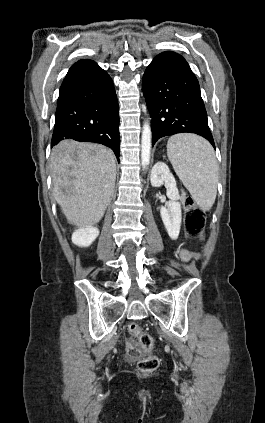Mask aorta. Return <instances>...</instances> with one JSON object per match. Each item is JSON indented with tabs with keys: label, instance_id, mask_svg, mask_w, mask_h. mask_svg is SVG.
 I'll return each mask as SVG.
<instances>
[{
	"label": "aorta",
	"instance_id": "obj_1",
	"mask_svg": "<svg viewBox=\"0 0 265 423\" xmlns=\"http://www.w3.org/2000/svg\"><path fill=\"white\" fill-rule=\"evenodd\" d=\"M151 139L152 133L150 123L148 121H145L143 124V131L141 137V163L143 169H146L150 163Z\"/></svg>",
	"mask_w": 265,
	"mask_h": 423
}]
</instances>
